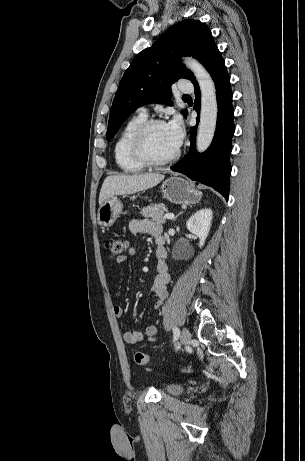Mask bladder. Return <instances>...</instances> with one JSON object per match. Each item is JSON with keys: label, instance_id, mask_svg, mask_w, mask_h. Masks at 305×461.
<instances>
[{"label": "bladder", "instance_id": "bladder-1", "mask_svg": "<svg viewBox=\"0 0 305 461\" xmlns=\"http://www.w3.org/2000/svg\"><path fill=\"white\" fill-rule=\"evenodd\" d=\"M183 385L178 383H171L164 387V392L169 395H178L183 392Z\"/></svg>", "mask_w": 305, "mask_h": 461}]
</instances>
